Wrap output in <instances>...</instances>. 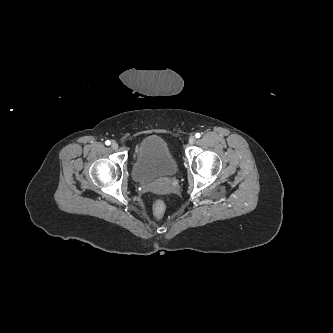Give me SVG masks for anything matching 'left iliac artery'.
<instances>
[{
  "label": "left iliac artery",
  "instance_id": "obj_1",
  "mask_svg": "<svg viewBox=\"0 0 333 333\" xmlns=\"http://www.w3.org/2000/svg\"><path fill=\"white\" fill-rule=\"evenodd\" d=\"M195 136H196V138H200L201 135H200V133H196Z\"/></svg>",
  "mask_w": 333,
  "mask_h": 333
}]
</instances>
